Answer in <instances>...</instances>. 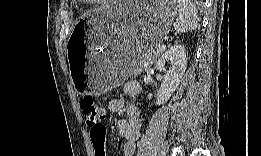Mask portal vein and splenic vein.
I'll list each match as a JSON object with an SVG mask.
<instances>
[{"label": "portal vein and splenic vein", "instance_id": "18ae733b", "mask_svg": "<svg viewBox=\"0 0 261 156\" xmlns=\"http://www.w3.org/2000/svg\"><path fill=\"white\" fill-rule=\"evenodd\" d=\"M165 49V46L161 45V46H158L156 52H155V55H159L161 52H163Z\"/></svg>", "mask_w": 261, "mask_h": 156}]
</instances>
